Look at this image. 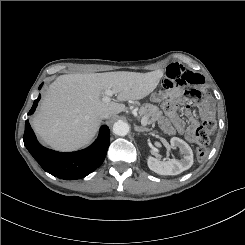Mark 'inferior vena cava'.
<instances>
[{
	"instance_id": "obj_1",
	"label": "inferior vena cava",
	"mask_w": 245,
	"mask_h": 245,
	"mask_svg": "<svg viewBox=\"0 0 245 245\" xmlns=\"http://www.w3.org/2000/svg\"><path fill=\"white\" fill-rule=\"evenodd\" d=\"M109 117H110V114H108V113L101 115L102 119H107Z\"/></svg>"
}]
</instances>
